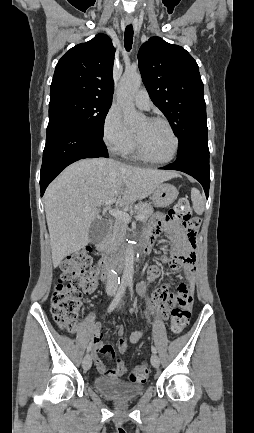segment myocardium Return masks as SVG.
Here are the masks:
<instances>
[{
	"mask_svg": "<svg viewBox=\"0 0 254 433\" xmlns=\"http://www.w3.org/2000/svg\"><path fill=\"white\" fill-rule=\"evenodd\" d=\"M147 120L149 122H152V123L162 124V125H164L166 127V129L169 131V133L171 134V136H172V138L174 140V149H173L172 154L168 158H166V159H163V160L152 159L151 157H149L147 155V153L143 149V147H142V145H141V143H140L137 135L135 134L134 135V141H135V148H136V152H137L138 156L142 160H144V161H146L148 163H151V164H156V165H164V164H168V163L172 162L176 158V156H177V154L179 152V147H180L179 138H178L176 132L174 131V129L172 128V126L170 125V123L167 120L163 119V118H160V117H149V118H147Z\"/></svg>",
	"mask_w": 254,
	"mask_h": 433,
	"instance_id": "1",
	"label": "myocardium"
}]
</instances>
